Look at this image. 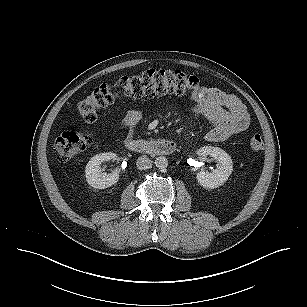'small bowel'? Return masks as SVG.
<instances>
[{
    "label": "small bowel",
    "mask_w": 307,
    "mask_h": 307,
    "mask_svg": "<svg viewBox=\"0 0 307 307\" xmlns=\"http://www.w3.org/2000/svg\"><path fill=\"white\" fill-rule=\"evenodd\" d=\"M196 104L193 111L205 116L211 127L205 135L209 142H222L245 130L250 123V114L241 100L233 94L206 86L197 87L190 95ZM141 121L139 111H129L120 126L132 137Z\"/></svg>",
    "instance_id": "c3829d8e"
}]
</instances>
